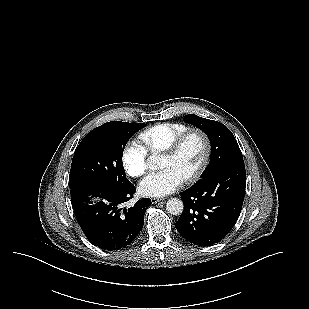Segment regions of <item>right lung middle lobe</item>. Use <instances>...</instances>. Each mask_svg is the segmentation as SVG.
Segmentation results:
<instances>
[{
    "mask_svg": "<svg viewBox=\"0 0 309 309\" xmlns=\"http://www.w3.org/2000/svg\"><path fill=\"white\" fill-rule=\"evenodd\" d=\"M144 127V123L114 121L89 132L75 150L70 189L89 184L127 186L130 181L123 168V150L131 136Z\"/></svg>",
    "mask_w": 309,
    "mask_h": 309,
    "instance_id": "1",
    "label": "right lung middle lobe"
}]
</instances>
